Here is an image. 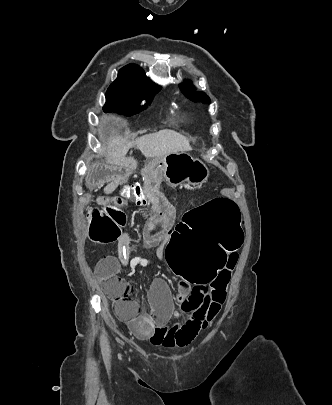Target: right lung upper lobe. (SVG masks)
I'll use <instances>...</instances> for the list:
<instances>
[{"instance_id":"cb5924a9","label":"right lung upper lobe","mask_w":332,"mask_h":405,"mask_svg":"<svg viewBox=\"0 0 332 405\" xmlns=\"http://www.w3.org/2000/svg\"><path fill=\"white\" fill-rule=\"evenodd\" d=\"M116 80L125 82L126 84L139 89L156 88V85L146 77L144 71L135 64H129L123 67L119 71Z\"/></svg>"}]
</instances>
